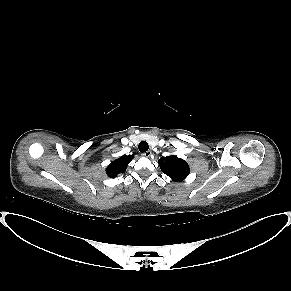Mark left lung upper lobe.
Returning <instances> with one entry per match:
<instances>
[{"instance_id": "obj_1", "label": "left lung upper lobe", "mask_w": 291, "mask_h": 291, "mask_svg": "<svg viewBox=\"0 0 291 291\" xmlns=\"http://www.w3.org/2000/svg\"><path fill=\"white\" fill-rule=\"evenodd\" d=\"M158 164L161 170L176 182L184 180L190 172L186 161L174 155L161 157Z\"/></svg>"}]
</instances>
